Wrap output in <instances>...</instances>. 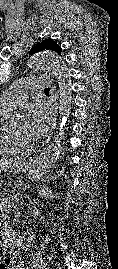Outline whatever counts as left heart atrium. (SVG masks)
Instances as JSON below:
<instances>
[{"label": "left heart atrium", "instance_id": "39dd6f15", "mask_svg": "<svg viewBox=\"0 0 118 269\" xmlns=\"http://www.w3.org/2000/svg\"><path fill=\"white\" fill-rule=\"evenodd\" d=\"M51 120L49 107L42 101H33L26 106L25 131L32 139L45 135Z\"/></svg>", "mask_w": 118, "mask_h": 269}]
</instances>
